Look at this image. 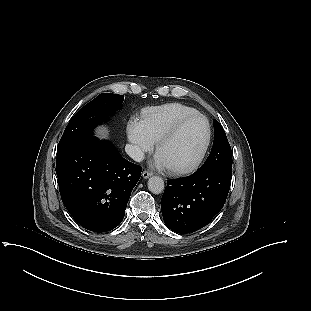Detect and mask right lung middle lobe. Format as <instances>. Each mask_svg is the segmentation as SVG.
Listing matches in <instances>:
<instances>
[{
    "label": "right lung middle lobe",
    "instance_id": "obj_1",
    "mask_svg": "<svg viewBox=\"0 0 311 311\" xmlns=\"http://www.w3.org/2000/svg\"><path fill=\"white\" fill-rule=\"evenodd\" d=\"M123 100V95L102 93L82 107L68 123L57 147V153L81 138L93 136V128L120 109Z\"/></svg>",
    "mask_w": 311,
    "mask_h": 311
}]
</instances>
